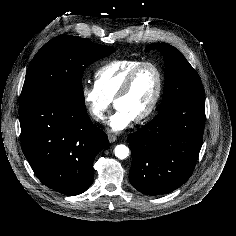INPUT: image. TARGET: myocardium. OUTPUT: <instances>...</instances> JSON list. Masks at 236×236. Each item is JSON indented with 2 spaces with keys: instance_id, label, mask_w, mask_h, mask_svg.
<instances>
[{
  "instance_id": "myocardium-1",
  "label": "myocardium",
  "mask_w": 236,
  "mask_h": 236,
  "mask_svg": "<svg viewBox=\"0 0 236 236\" xmlns=\"http://www.w3.org/2000/svg\"><path fill=\"white\" fill-rule=\"evenodd\" d=\"M145 67H151L155 70L157 74V90L149 108L146 111H144L142 114L134 118V121L137 123L145 121L148 118H150L157 110L159 103L161 101V98L163 95V89H164V75L159 65L153 61H144L140 63L138 66H136L134 69L131 70V72L128 74V76L125 78L124 82L122 83L115 98L113 99L114 105H116V103L129 92L136 76Z\"/></svg>"
}]
</instances>
